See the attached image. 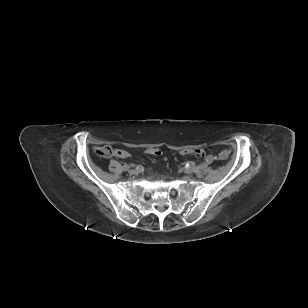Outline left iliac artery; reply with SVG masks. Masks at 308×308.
<instances>
[{
	"label": "left iliac artery",
	"mask_w": 308,
	"mask_h": 308,
	"mask_svg": "<svg viewBox=\"0 0 308 308\" xmlns=\"http://www.w3.org/2000/svg\"><path fill=\"white\" fill-rule=\"evenodd\" d=\"M206 161L209 162V163H212L214 161V158L212 155H207L206 156Z\"/></svg>",
	"instance_id": "obj_1"
}]
</instances>
